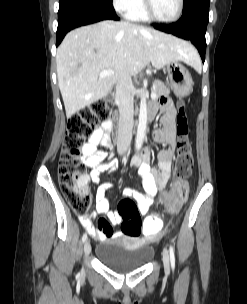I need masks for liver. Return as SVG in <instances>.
I'll list each match as a JSON object with an SVG mask.
<instances>
[{"instance_id": "1", "label": "liver", "mask_w": 247, "mask_h": 304, "mask_svg": "<svg viewBox=\"0 0 247 304\" xmlns=\"http://www.w3.org/2000/svg\"><path fill=\"white\" fill-rule=\"evenodd\" d=\"M184 61L196 66L191 44L172 35L126 21L106 20L69 32L57 49V78L66 116L106 97L121 72L137 75ZM112 75L100 77L106 70Z\"/></svg>"}]
</instances>
